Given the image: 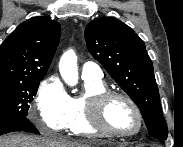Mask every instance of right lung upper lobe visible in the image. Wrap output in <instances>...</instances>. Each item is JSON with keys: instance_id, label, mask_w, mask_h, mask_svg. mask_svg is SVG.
<instances>
[{"instance_id": "cb5924a9", "label": "right lung upper lobe", "mask_w": 183, "mask_h": 147, "mask_svg": "<svg viewBox=\"0 0 183 147\" xmlns=\"http://www.w3.org/2000/svg\"><path fill=\"white\" fill-rule=\"evenodd\" d=\"M60 33V24L47 17L21 23L0 46V83L44 77Z\"/></svg>"}]
</instances>
